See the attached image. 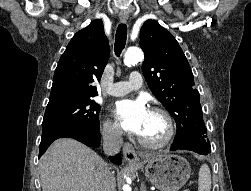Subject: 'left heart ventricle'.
<instances>
[{"mask_svg":"<svg viewBox=\"0 0 251 191\" xmlns=\"http://www.w3.org/2000/svg\"><path fill=\"white\" fill-rule=\"evenodd\" d=\"M167 132L165 120L158 114L150 112L141 136L150 142H160Z\"/></svg>","mask_w":251,"mask_h":191,"instance_id":"b2bd125f","label":"left heart ventricle"}]
</instances>
